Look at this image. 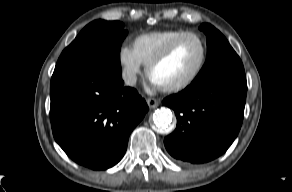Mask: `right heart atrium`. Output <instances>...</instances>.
<instances>
[{"mask_svg": "<svg viewBox=\"0 0 292 192\" xmlns=\"http://www.w3.org/2000/svg\"><path fill=\"white\" fill-rule=\"evenodd\" d=\"M117 58L123 80L126 84L133 86L142 71L143 63L134 48L125 44L120 46Z\"/></svg>", "mask_w": 292, "mask_h": 192, "instance_id": "d8ad5b80", "label": "right heart atrium"}]
</instances>
